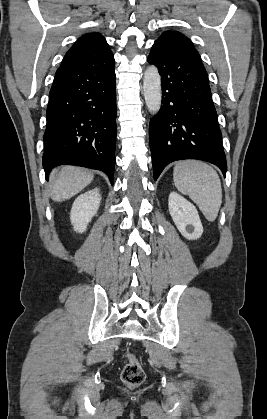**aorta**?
I'll use <instances>...</instances> for the list:
<instances>
[{
    "instance_id": "1",
    "label": "aorta",
    "mask_w": 267,
    "mask_h": 419,
    "mask_svg": "<svg viewBox=\"0 0 267 419\" xmlns=\"http://www.w3.org/2000/svg\"><path fill=\"white\" fill-rule=\"evenodd\" d=\"M144 97L148 110L158 113L161 107V77L156 66H149L144 73Z\"/></svg>"
}]
</instances>
